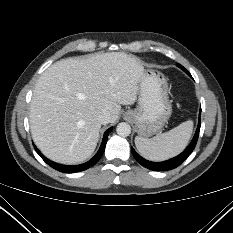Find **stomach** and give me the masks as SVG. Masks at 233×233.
<instances>
[{
  "label": "stomach",
  "instance_id": "obj_1",
  "mask_svg": "<svg viewBox=\"0 0 233 233\" xmlns=\"http://www.w3.org/2000/svg\"><path fill=\"white\" fill-rule=\"evenodd\" d=\"M138 94V107L125 112V116L141 137H150L163 128L172 113L166 78L156 69H145L139 79Z\"/></svg>",
  "mask_w": 233,
  "mask_h": 233
}]
</instances>
